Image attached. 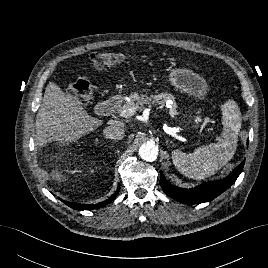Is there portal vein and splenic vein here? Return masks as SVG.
<instances>
[{
	"mask_svg": "<svg viewBox=\"0 0 268 268\" xmlns=\"http://www.w3.org/2000/svg\"><path fill=\"white\" fill-rule=\"evenodd\" d=\"M137 109L135 107H122L119 110V115L123 118H129L135 114Z\"/></svg>",
	"mask_w": 268,
	"mask_h": 268,
	"instance_id": "1",
	"label": "portal vein and splenic vein"
}]
</instances>
